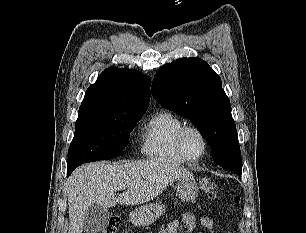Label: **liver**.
Here are the masks:
<instances>
[{"label": "liver", "mask_w": 306, "mask_h": 233, "mask_svg": "<svg viewBox=\"0 0 306 233\" xmlns=\"http://www.w3.org/2000/svg\"><path fill=\"white\" fill-rule=\"evenodd\" d=\"M190 172L160 158L126 164L95 162L78 167L67 181L68 233H82L84 216L94 204L105 208L143 204L159 196L176 179ZM120 185L125 192L116 197Z\"/></svg>", "instance_id": "liver-1"}]
</instances>
